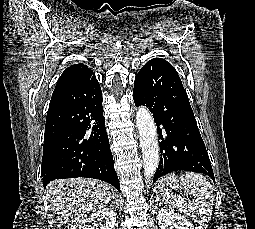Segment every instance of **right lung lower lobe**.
Wrapping results in <instances>:
<instances>
[{
	"mask_svg": "<svg viewBox=\"0 0 255 229\" xmlns=\"http://www.w3.org/2000/svg\"><path fill=\"white\" fill-rule=\"evenodd\" d=\"M57 136L42 158L44 185L54 179L87 177L120 190L103 116L102 92L88 67L51 98L45 131Z\"/></svg>",
	"mask_w": 255,
	"mask_h": 229,
	"instance_id": "98d812e1",
	"label": "right lung lower lobe"
}]
</instances>
